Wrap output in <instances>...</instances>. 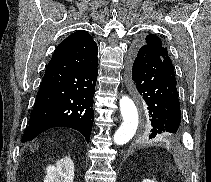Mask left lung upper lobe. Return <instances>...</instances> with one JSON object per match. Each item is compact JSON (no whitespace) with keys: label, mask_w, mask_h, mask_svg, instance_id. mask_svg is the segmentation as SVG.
<instances>
[{"label":"left lung upper lobe","mask_w":211,"mask_h":182,"mask_svg":"<svg viewBox=\"0 0 211 182\" xmlns=\"http://www.w3.org/2000/svg\"><path fill=\"white\" fill-rule=\"evenodd\" d=\"M137 44L149 47L153 52L162 57L166 68L175 78L174 68L168 55V51L166 47L163 46L162 41L159 37L153 34H149L144 39H140Z\"/></svg>","instance_id":"1"}]
</instances>
